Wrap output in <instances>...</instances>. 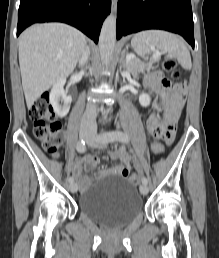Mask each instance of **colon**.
I'll return each instance as SVG.
<instances>
[{"label":"colon","instance_id":"1","mask_svg":"<svg viewBox=\"0 0 219 258\" xmlns=\"http://www.w3.org/2000/svg\"><path fill=\"white\" fill-rule=\"evenodd\" d=\"M162 67L174 79L180 77L177 63L173 58H165L162 61ZM29 116L33 122L34 135L40 140L43 149L49 154L57 156L63 144L64 135L61 123L53 111L48 95L40 96L32 104L29 109ZM152 150L157 156H161L165 151L163 144L158 141L152 143ZM130 182L137 184L139 182V175H131Z\"/></svg>","mask_w":219,"mask_h":258}]
</instances>
